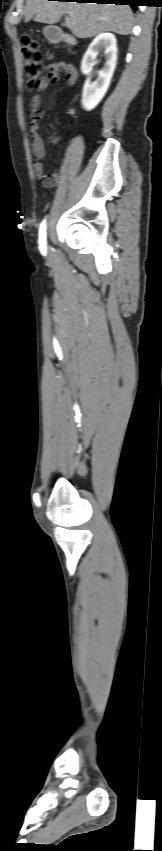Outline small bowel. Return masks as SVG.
Listing matches in <instances>:
<instances>
[{"mask_svg":"<svg viewBox=\"0 0 162 851\" xmlns=\"http://www.w3.org/2000/svg\"><path fill=\"white\" fill-rule=\"evenodd\" d=\"M65 72L67 76L66 83L68 86L73 87L77 83V78L79 76L78 69L74 68L73 65L60 62L51 64L47 70V76L42 77L38 80L36 85V93L32 97L31 100V108L32 113L29 118L30 124V149L32 153V158L34 160V173L35 175L42 180L47 185H52L56 179L55 175H49L45 172L44 164L42 163V158L45 155V147L44 142L41 136L39 135L38 129V121L42 117V113L38 111L40 106V94L45 91L49 85V79H55L58 76L59 72ZM59 142V138L57 136H53L49 139V143L52 146H56Z\"/></svg>","mask_w":162,"mask_h":851,"instance_id":"1","label":"small bowel"}]
</instances>
